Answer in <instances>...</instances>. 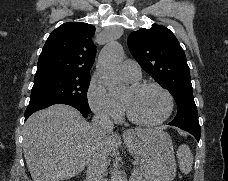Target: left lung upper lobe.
Here are the masks:
<instances>
[{
  "mask_svg": "<svg viewBox=\"0 0 228 181\" xmlns=\"http://www.w3.org/2000/svg\"><path fill=\"white\" fill-rule=\"evenodd\" d=\"M128 46L140 66L174 97L178 111L169 125L184 130L200 128L190 69L174 34L164 26L153 25L150 29L132 32Z\"/></svg>",
  "mask_w": 228,
  "mask_h": 181,
  "instance_id": "obj_1",
  "label": "left lung upper lobe"
}]
</instances>
